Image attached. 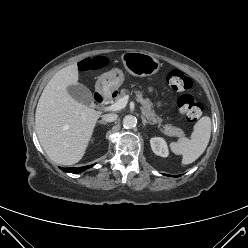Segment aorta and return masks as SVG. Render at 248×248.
I'll use <instances>...</instances> for the list:
<instances>
[{
    "mask_svg": "<svg viewBox=\"0 0 248 248\" xmlns=\"http://www.w3.org/2000/svg\"><path fill=\"white\" fill-rule=\"evenodd\" d=\"M137 124V119L136 117L132 116V115H126L123 118V126L126 129H131L134 128Z\"/></svg>",
    "mask_w": 248,
    "mask_h": 248,
    "instance_id": "1",
    "label": "aorta"
}]
</instances>
